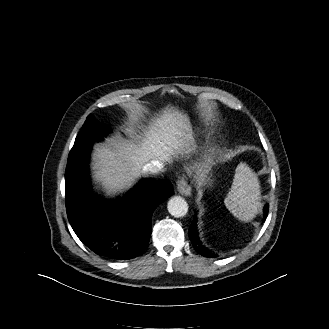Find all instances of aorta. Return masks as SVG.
Masks as SVG:
<instances>
[{
  "mask_svg": "<svg viewBox=\"0 0 329 329\" xmlns=\"http://www.w3.org/2000/svg\"><path fill=\"white\" fill-rule=\"evenodd\" d=\"M167 209L174 217H184L188 212V204L181 196H174L168 201Z\"/></svg>",
  "mask_w": 329,
  "mask_h": 329,
  "instance_id": "1",
  "label": "aorta"
}]
</instances>
